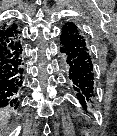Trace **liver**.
<instances>
[{"mask_svg":"<svg viewBox=\"0 0 117 136\" xmlns=\"http://www.w3.org/2000/svg\"><path fill=\"white\" fill-rule=\"evenodd\" d=\"M9 116V110L7 108L0 109V126H3L6 123V120Z\"/></svg>","mask_w":117,"mask_h":136,"instance_id":"obj_1","label":"liver"}]
</instances>
